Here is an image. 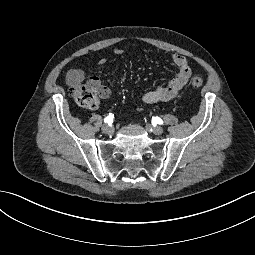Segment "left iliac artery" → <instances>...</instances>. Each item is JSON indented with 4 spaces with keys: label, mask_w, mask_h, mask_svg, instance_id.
I'll list each match as a JSON object with an SVG mask.
<instances>
[{
    "label": "left iliac artery",
    "mask_w": 255,
    "mask_h": 255,
    "mask_svg": "<svg viewBox=\"0 0 255 255\" xmlns=\"http://www.w3.org/2000/svg\"><path fill=\"white\" fill-rule=\"evenodd\" d=\"M152 123H155V124H163V121H162V119H160L159 117H153V118H152Z\"/></svg>",
    "instance_id": "left-iliac-artery-1"
}]
</instances>
